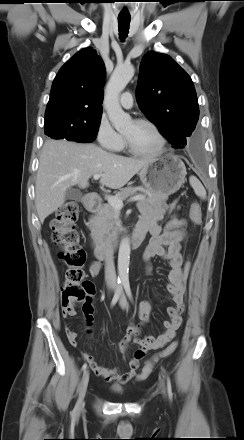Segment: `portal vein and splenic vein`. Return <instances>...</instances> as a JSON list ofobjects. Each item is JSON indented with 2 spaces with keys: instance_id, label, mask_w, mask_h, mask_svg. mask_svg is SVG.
<instances>
[{
  "instance_id": "1",
  "label": "portal vein and splenic vein",
  "mask_w": 244,
  "mask_h": 440,
  "mask_svg": "<svg viewBox=\"0 0 244 440\" xmlns=\"http://www.w3.org/2000/svg\"><path fill=\"white\" fill-rule=\"evenodd\" d=\"M101 176H102V174H95L93 176V178L95 180H98ZM106 199H107L108 203H110V205L115 210L120 211L123 208V201L118 199L117 197L106 195ZM142 200H144V197L143 196H139V195H136V196H134V197H132L130 199V201H132V202H134V201H142Z\"/></svg>"
}]
</instances>
